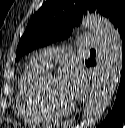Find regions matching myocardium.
<instances>
[{"label":"myocardium","instance_id":"obj_1","mask_svg":"<svg viewBox=\"0 0 125 128\" xmlns=\"http://www.w3.org/2000/svg\"><path fill=\"white\" fill-rule=\"evenodd\" d=\"M54 71H43L33 84L32 92L34 101L39 110L51 120L61 119L71 114L75 109V104L71 103L66 108L57 110L52 108L44 97V86L51 78L55 77Z\"/></svg>","mask_w":125,"mask_h":128}]
</instances>
